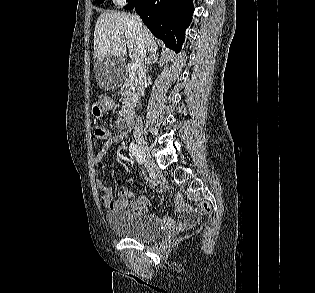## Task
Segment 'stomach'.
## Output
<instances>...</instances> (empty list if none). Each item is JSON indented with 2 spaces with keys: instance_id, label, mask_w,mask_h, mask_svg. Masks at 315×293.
Listing matches in <instances>:
<instances>
[{
  "instance_id": "1",
  "label": "stomach",
  "mask_w": 315,
  "mask_h": 293,
  "mask_svg": "<svg viewBox=\"0 0 315 293\" xmlns=\"http://www.w3.org/2000/svg\"><path fill=\"white\" fill-rule=\"evenodd\" d=\"M111 103H118V96H103V100L92 108V115L96 118L101 117L105 111L112 107Z\"/></svg>"
}]
</instances>
